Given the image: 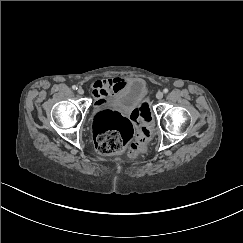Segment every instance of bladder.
I'll list each match as a JSON object with an SVG mask.
<instances>
[{"label":"bladder","mask_w":243,"mask_h":243,"mask_svg":"<svg viewBox=\"0 0 243 243\" xmlns=\"http://www.w3.org/2000/svg\"><path fill=\"white\" fill-rule=\"evenodd\" d=\"M147 94V84L143 78L131 77L122 88L100 105L123 112H130L142 104Z\"/></svg>","instance_id":"bladder-1"}]
</instances>
